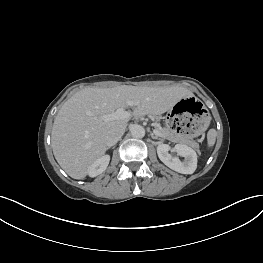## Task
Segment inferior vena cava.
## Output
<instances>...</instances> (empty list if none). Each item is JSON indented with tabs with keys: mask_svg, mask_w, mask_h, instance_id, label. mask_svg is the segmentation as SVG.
Here are the masks:
<instances>
[{
	"mask_svg": "<svg viewBox=\"0 0 263 263\" xmlns=\"http://www.w3.org/2000/svg\"><path fill=\"white\" fill-rule=\"evenodd\" d=\"M125 128H117L109 133L106 140V144L108 147L115 145L121 139L122 135L125 132Z\"/></svg>",
	"mask_w": 263,
	"mask_h": 263,
	"instance_id": "inferior-vena-cava-1",
	"label": "inferior vena cava"
}]
</instances>
